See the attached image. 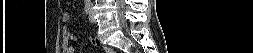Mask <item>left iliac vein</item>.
<instances>
[{"label": "left iliac vein", "mask_w": 253, "mask_h": 53, "mask_svg": "<svg viewBox=\"0 0 253 53\" xmlns=\"http://www.w3.org/2000/svg\"><path fill=\"white\" fill-rule=\"evenodd\" d=\"M89 20H90L92 23H95V19H94V16H93V9H92V6H90V10H89Z\"/></svg>", "instance_id": "left-iliac-vein-1"}]
</instances>
